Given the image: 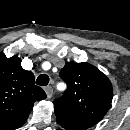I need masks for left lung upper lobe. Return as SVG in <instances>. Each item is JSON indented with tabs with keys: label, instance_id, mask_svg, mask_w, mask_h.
<instances>
[{
	"label": "left lung upper lobe",
	"instance_id": "5c2ea615",
	"mask_svg": "<svg viewBox=\"0 0 130 130\" xmlns=\"http://www.w3.org/2000/svg\"><path fill=\"white\" fill-rule=\"evenodd\" d=\"M60 77L68 88L54 101L75 114L99 122L108 111L112 97V84L108 77L89 63L67 62Z\"/></svg>",
	"mask_w": 130,
	"mask_h": 130
}]
</instances>
